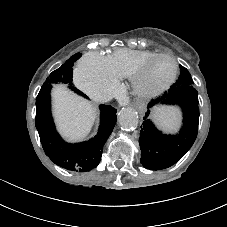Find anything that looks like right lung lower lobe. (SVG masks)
<instances>
[{
	"label": "right lung lower lobe",
	"instance_id": "1",
	"mask_svg": "<svg viewBox=\"0 0 227 227\" xmlns=\"http://www.w3.org/2000/svg\"><path fill=\"white\" fill-rule=\"evenodd\" d=\"M52 85L42 87L36 98L35 125L46 155L58 166L70 171L86 172L97 167L103 146L113 131L117 110L109 105H100L101 121L97 135L87 142L69 144L55 130L51 116L50 90ZM70 89L85 96L73 86ZM86 97V96H85Z\"/></svg>",
	"mask_w": 227,
	"mask_h": 227
}]
</instances>
